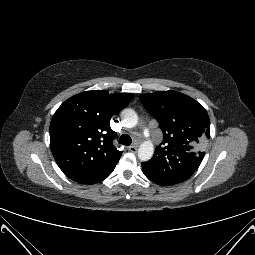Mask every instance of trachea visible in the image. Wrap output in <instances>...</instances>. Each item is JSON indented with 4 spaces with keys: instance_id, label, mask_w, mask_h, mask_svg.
<instances>
[{
    "instance_id": "1",
    "label": "trachea",
    "mask_w": 255,
    "mask_h": 255,
    "mask_svg": "<svg viewBox=\"0 0 255 255\" xmlns=\"http://www.w3.org/2000/svg\"><path fill=\"white\" fill-rule=\"evenodd\" d=\"M131 142H132L131 137H130L129 135H127V134H123V135H121V137L119 138V143H120V144H123V145L128 146V145L131 144Z\"/></svg>"
}]
</instances>
